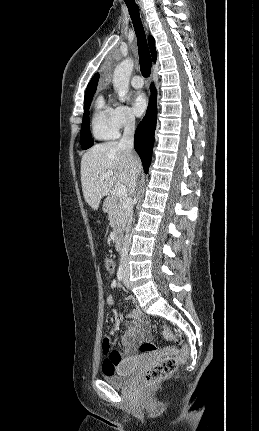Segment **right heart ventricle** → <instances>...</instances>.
Segmentation results:
<instances>
[{"label": "right heart ventricle", "mask_w": 259, "mask_h": 431, "mask_svg": "<svg viewBox=\"0 0 259 431\" xmlns=\"http://www.w3.org/2000/svg\"><path fill=\"white\" fill-rule=\"evenodd\" d=\"M110 115L111 108L105 104L102 96H98L94 102L91 116V131L97 140L107 141L118 136Z\"/></svg>", "instance_id": "e07e8e85"}]
</instances>
